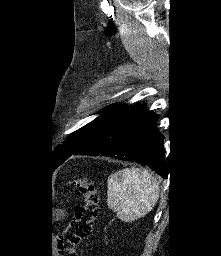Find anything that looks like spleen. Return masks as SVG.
<instances>
[{
    "label": "spleen",
    "mask_w": 221,
    "mask_h": 256,
    "mask_svg": "<svg viewBox=\"0 0 221 256\" xmlns=\"http://www.w3.org/2000/svg\"><path fill=\"white\" fill-rule=\"evenodd\" d=\"M158 195L157 179L147 170L125 168L108 178L107 204L122 221H134L146 215Z\"/></svg>",
    "instance_id": "spleen-1"
}]
</instances>
